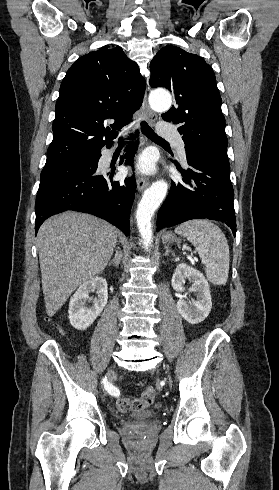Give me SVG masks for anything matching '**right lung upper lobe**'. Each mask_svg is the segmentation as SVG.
I'll use <instances>...</instances> for the list:
<instances>
[{
	"label": "right lung upper lobe",
	"mask_w": 279,
	"mask_h": 490,
	"mask_svg": "<svg viewBox=\"0 0 279 490\" xmlns=\"http://www.w3.org/2000/svg\"><path fill=\"white\" fill-rule=\"evenodd\" d=\"M145 88L137 64L120 47H103L79 58L60 86L46 164L100 155L116 130L132 121ZM110 120L112 131L106 127Z\"/></svg>",
	"instance_id": "1"
}]
</instances>
